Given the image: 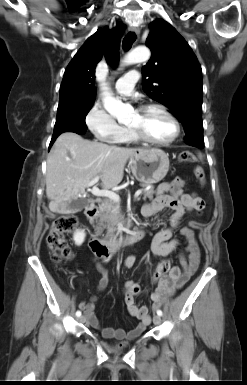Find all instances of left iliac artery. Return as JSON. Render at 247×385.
<instances>
[{"label":"left iliac artery","instance_id":"left-iliac-artery-1","mask_svg":"<svg viewBox=\"0 0 247 385\" xmlns=\"http://www.w3.org/2000/svg\"><path fill=\"white\" fill-rule=\"evenodd\" d=\"M162 311L160 309L157 310V315L162 316Z\"/></svg>","mask_w":247,"mask_h":385}]
</instances>
